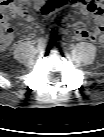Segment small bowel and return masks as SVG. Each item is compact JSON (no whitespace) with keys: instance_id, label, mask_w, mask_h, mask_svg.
<instances>
[{"instance_id":"obj_1","label":"small bowel","mask_w":104,"mask_h":137,"mask_svg":"<svg viewBox=\"0 0 104 137\" xmlns=\"http://www.w3.org/2000/svg\"><path fill=\"white\" fill-rule=\"evenodd\" d=\"M71 5L80 10L85 16H92L95 21V27L92 30L79 28L75 31V38L78 40H99L102 37L103 29L101 26L103 9L99 0H67L62 6ZM19 16L24 22L30 23L33 17L25 12H19ZM4 25L9 26L7 17H4ZM13 41V33H7L0 40V47L2 50H8Z\"/></svg>"}]
</instances>
